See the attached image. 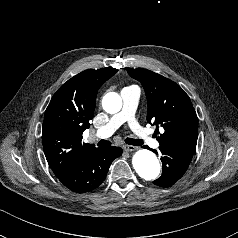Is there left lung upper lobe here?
Instances as JSON below:
<instances>
[{
	"mask_svg": "<svg viewBox=\"0 0 238 238\" xmlns=\"http://www.w3.org/2000/svg\"><path fill=\"white\" fill-rule=\"evenodd\" d=\"M127 72L145 90L147 122L164 129L155 134L160 146L195 153L198 118L189 96L178 84L150 70L127 69Z\"/></svg>",
	"mask_w": 238,
	"mask_h": 238,
	"instance_id": "1",
	"label": "left lung upper lobe"
}]
</instances>
